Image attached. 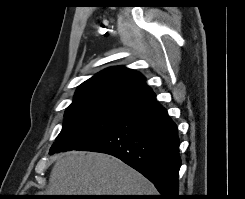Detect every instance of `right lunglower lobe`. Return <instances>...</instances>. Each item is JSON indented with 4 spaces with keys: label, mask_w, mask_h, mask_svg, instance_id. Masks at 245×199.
Listing matches in <instances>:
<instances>
[{
    "label": "right lung lower lobe",
    "mask_w": 245,
    "mask_h": 199,
    "mask_svg": "<svg viewBox=\"0 0 245 199\" xmlns=\"http://www.w3.org/2000/svg\"><path fill=\"white\" fill-rule=\"evenodd\" d=\"M75 150L113 155L149 179L160 192L159 199H179L177 126L159 103L128 115Z\"/></svg>",
    "instance_id": "obj_1"
}]
</instances>
